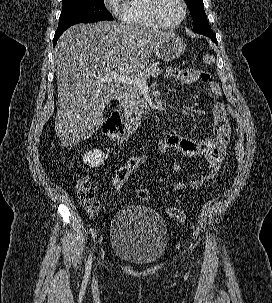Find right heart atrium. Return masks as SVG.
I'll list each match as a JSON object with an SVG mask.
<instances>
[{
  "instance_id": "d8ad5b80",
  "label": "right heart atrium",
  "mask_w": 272,
  "mask_h": 303,
  "mask_svg": "<svg viewBox=\"0 0 272 303\" xmlns=\"http://www.w3.org/2000/svg\"><path fill=\"white\" fill-rule=\"evenodd\" d=\"M126 0H105L107 9L116 17H122Z\"/></svg>"
}]
</instances>
